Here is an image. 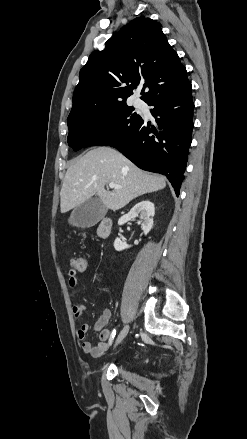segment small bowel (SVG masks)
<instances>
[{
	"label": "small bowel",
	"instance_id": "obj_1",
	"mask_svg": "<svg viewBox=\"0 0 247 439\" xmlns=\"http://www.w3.org/2000/svg\"><path fill=\"white\" fill-rule=\"evenodd\" d=\"M78 272L74 270L69 271L68 285L70 290L75 293L78 288ZM86 306L80 304H74L72 306V312L75 318L80 319L86 312ZM111 310L106 308L95 322L93 329L99 332L100 342L97 345H92L86 341V336L89 330L87 323H82L77 331V337L81 341V348L85 354L92 357H101L109 347L111 331L106 329L105 326L109 323L111 318Z\"/></svg>",
	"mask_w": 247,
	"mask_h": 439
}]
</instances>
